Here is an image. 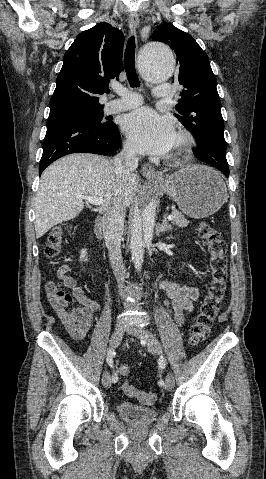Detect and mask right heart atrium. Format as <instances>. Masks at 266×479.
<instances>
[{
  "label": "right heart atrium",
  "mask_w": 266,
  "mask_h": 479,
  "mask_svg": "<svg viewBox=\"0 0 266 479\" xmlns=\"http://www.w3.org/2000/svg\"><path fill=\"white\" fill-rule=\"evenodd\" d=\"M125 151L131 156H134L136 154L135 149L130 142L125 143Z\"/></svg>",
  "instance_id": "d8ad5b80"
}]
</instances>
